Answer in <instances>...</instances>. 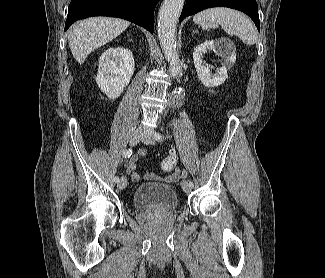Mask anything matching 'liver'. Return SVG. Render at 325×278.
<instances>
[{
  "instance_id": "obj_1",
  "label": "liver",
  "mask_w": 325,
  "mask_h": 278,
  "mask_svg": "<svg viewBox=\"0 0 325 278\" xmlns=\"http://www.w3.org/2000/svg\"><path fill=\"white\" fill-rule=\"evenodd\" d=\"M129 21L113 17H91L73 26L68 33V43L79 64L95 49L120 35Z\"/></svg>"
}]
</instances>
